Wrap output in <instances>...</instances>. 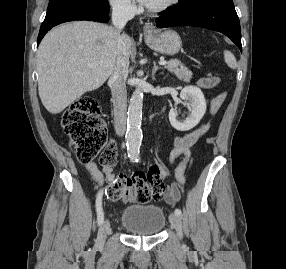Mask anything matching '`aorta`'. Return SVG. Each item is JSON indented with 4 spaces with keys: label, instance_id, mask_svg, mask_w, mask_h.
I'll return each mask as SVG.
<instances>
[{
    "label": "aorta",
    "instance_id": "762f6f07",
    "mask_svg": "<svg viewBox=\"0 0 286 269\" xmlns=\"http://www.w3.org/2000/svg\"><path fill=\"white\" fill-rule=\"evenodd\" d=\"M142 105L143 92L138 88L133 92L128 107L126 145L130 157H137L139 155L142 143Z\"/></svg>",
    "mask_w": 286,
    "mask_h": 269
}]
</instances>
